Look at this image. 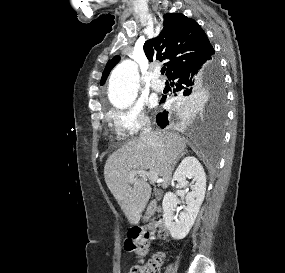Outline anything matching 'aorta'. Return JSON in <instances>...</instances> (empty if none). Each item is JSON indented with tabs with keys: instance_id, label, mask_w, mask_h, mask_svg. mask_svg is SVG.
Masks as SVG:
<instances>
[{
	"instance_id": "1",
	"label": "aorta",
	"mask_w": 285,
	"mask_h": 273,
	"mask_svg": "<svg viewBox=\"0 0 285 273\" xmlns=\"http://www.w3.org/2000/svg\"><path fill=\"white\" fill-rule=\"evenodd\" d=\"M138 88V67L133 61L126 60L118 64L111 73L108 98L114 107L125 109L136 100Z\"/></svg>"
}]
</instances>
